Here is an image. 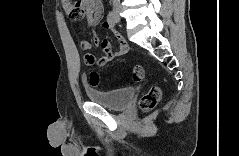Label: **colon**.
I'll use <instances>...</instances> for the list:
<instances>
[{
  "label": "colon",
  "mask_w": 239,
  "mask_h": 156,
  "mask_svg": "<svg viewBox=\"0 0 239 156\" xmlns=\"http://www.w3.org/2000/svg\"><path fill=\"white\" fill-rule=\"evenodd\" d=\"M132 79L135 82H141L144 79V68L136 65L132 69ZM89 83L92 86H98L100 83L99 75L92 71L89 75ZM161 99V91L158 87H151L140 99L139 106L143 111H150L156 107Z\"/></svg>",
  "instance_id": "colon-1"
}]
</instances>
